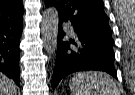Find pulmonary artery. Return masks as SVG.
Segmentation results:
<instances>
[{"instance_id":"pulmonary-artery-1","label":"pulmonary artery","mask_w":135,"mask_h":95,"mask_svg":"<svg viewBox=\"0 0 135 95\" xmlns=\"http://www.w3.org/2000/svg\"><path fill=\"white\" fill-rule=\"evenodd\" d=\"M68 28H69V31H71V32H72V28H71L70 26H69Z\"/></svg>"}]
</instances>
